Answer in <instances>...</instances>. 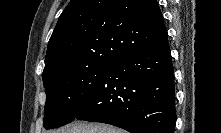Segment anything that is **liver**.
<instances>
[{
    "label": "liver",
    "instance_id": "6515ba94",
    "mask_svg": "<svg viewBox=\"0 0 221 133\" xmlns=\"http://www.w3.org/2000/svg\"><path fill=\"white\" fill-rule=\"evenodd\" d=\"M55 133H125L124 130L102 123H86L76 121L62 127Z\"/></svg>",
    "mask_w": 221,
    "mask_h": 133
}]
</instances>
